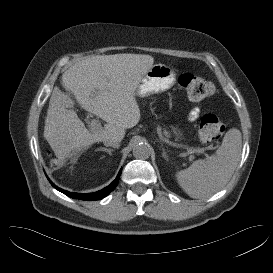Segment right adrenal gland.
I'll use <instances>...</instances> for the list:
<instances>
[{
  "instance_id": "2a0ac1e0",
  "label": "right adrenal gland",
  "mask_w": 273,
  "mask_h": 273,
  "mask_svg": "<svg viewBox=\"0 0 273 273\" xmlns=\"http://www.w3.org/2000/svg\"><path fill=\"white\" fill-rule=\"evenodd\" d=\"M98 151H105V152H107L109 155H111L112 154V152L114 151V149H108V148H104V147H101V148H98L97 149Z\"/></svg>"
}]
</instances>
